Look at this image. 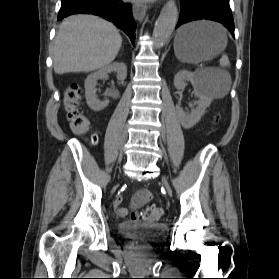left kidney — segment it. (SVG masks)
Here are the masks:
<instances>
[{
  "instance_id": "left-kidney-1",
  "label": "left kidney",
  "mask_w": 279,
  "mask_h": 279,
  "mask_svg": "<svg viewBox=\"0 0 279 279\" xmlns=\"http://www.w3.org/2000/svg\"><path fill=\"white\" fill-rule=\"evenodd\" d=\"M190 81L194 87L195 96L198 98L194 104H190L191 113L184 112L178 104L176 106L177 116L183 128L190 129L196 125L201 117L205 114L207 107L210 106L212 98L204 92V75L193 73L187 70L179 71L174 77V86L178 90H183L186 82ZM197 105L196 108H193Z\"/></svg>"
}]
</instances>
